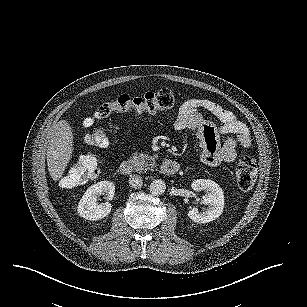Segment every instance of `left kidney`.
Masks as SVG:
<instances>
[{
    "mask_svg": "<svg viewBox=\"0 0 307 307\" xmlns=\"http://www.w3.org/2000/svg\"><path fill=\"white\" fill-rule=\"evenodd\" d=\"M194 191H206L202 203L208 207L199 212L197 208H192L188 212V217L196 223H208L218 218L224 209V193L222 188L209 179H197L191 184Z\"/></svg>",
    "mask_w": 307,
    "mask_h": 307,
    "instance_id": "left-kidney-1",
    "label": "left kidney"
}]
</instances>
